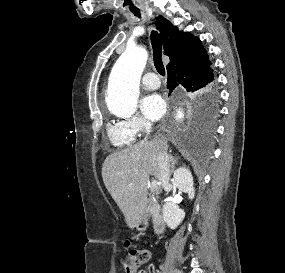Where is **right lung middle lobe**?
<instances>
[{
    "label": "right lung middle lobe",
    "instance_id": "right-lung-middle-lobe-1",
    "mask_svg": "<svg viewBox=\"0 0 285 273\" xmlns=\"http://www.w3.org/2000/svg\"><path fill=\"white\" fill-rule=\"evenodd\" d=\"M212 90V85L210 87H208L205 90L199 91L198 94L196 95V99L198 100L199 98H204L205 96H207L208 94H210ZM206 100V99H205ZM204 101V100H203Z\"/></svg>",
    "mask_w": 285,
    "mask_h": 273
}]
</instances>
